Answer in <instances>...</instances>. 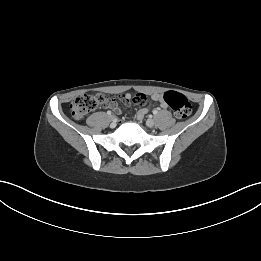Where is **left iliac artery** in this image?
<instances>
[{"instance_id": "left-iliac-artery-1", "label": "left iliac artery", "mask_w": 261, "mask_h": 261, "mask_svg": "<svg viewBox=\"0 0 261 261\" xmlns=\"http://www.w3.org/2000/svg\"><path fill=\"white\" fill-rule=\"evenodd\" d=\"M157 113H158V110H157V109L153 110V114H154V115H156Z\"/></svg>"}]
</instances>
